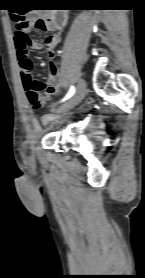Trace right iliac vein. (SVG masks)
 Segmentation results:
<instances>
[{"mask_svg": "<svg viewBox=\"0 0 145 278\" xmlns=\"http://www.w3.org/2000/svg\"><path fill=\"white\" fill-rule=\"evenodd\" d=\"M85 83L82 79H80L78 81V85L76 88V91L74 93V95L67 101L65 102L63 105L59 106L55 112L56 113H62V112H67L70 109L74 108L83 98L84 94H85Z\"/></svg>", "mask_w": 145, "mask_h": 278, "instance_id": "right-iliac-vein-1", "label": "right iliac vein"}]
</instances>
